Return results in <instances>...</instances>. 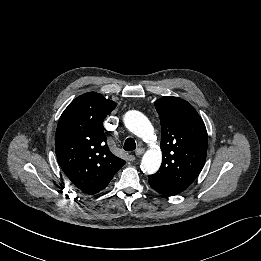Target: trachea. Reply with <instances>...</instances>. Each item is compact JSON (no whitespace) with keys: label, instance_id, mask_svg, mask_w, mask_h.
<instances>
[{"label":"trachea","instance_id":"trachea-1","mask_svg":"<svg viewBox=\"0 0 261 261\" xmlns=\"http://www.w3.org/2000/svg\"><path fill=\"white\" fill-rule=\"evenodd\" d=\"M125 151H133L136 148V143L135 140L133 138H127L124 146H123Z\"/></svg>","mask_w":261,"mask_h":261}]
</instances>
